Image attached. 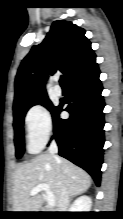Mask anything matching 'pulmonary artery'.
Wrapping results in <instances>:
<instances>
[{
    "instance_id": "e3ab8cb5",
    "label": "pulmonary artery",
    "mask_w": 123,
    "mask_h": 219,
    "mask_svg": "<svg viewBox=\"0 0 123 219\" xmlns=\"http://www.w3.org/2000/svg\"><path fill=\"white\" fill-rule=\"evenodd\" d=\"M54 93L58 96L61 95L62 94V88L59 85H55L54 86Z\"/></svg>"
}]
</instances>
